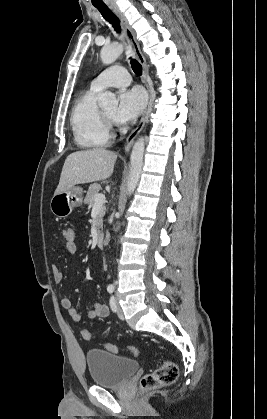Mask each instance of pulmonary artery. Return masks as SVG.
<instances>
[{
  "label": "pulmonary artery",
  "instance_id": "pulmonary-artery-1",
  "mask_svg": "<svg viewBox=\"0 0 267 419\" xmlns=\"http://www.w3.org/2000/svg\"><path fill=\"white\" fill-rule=\"evenodd\" d=\"M131 77L123 66H112L100 73L91 83V88L102 91L108 87L129 85Z\"/></svg>",
  "mask_w": 267,
  "mask_h": 419
}]
</instances>
